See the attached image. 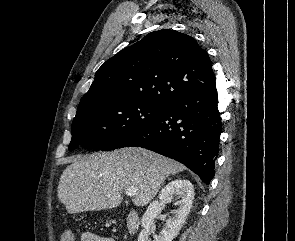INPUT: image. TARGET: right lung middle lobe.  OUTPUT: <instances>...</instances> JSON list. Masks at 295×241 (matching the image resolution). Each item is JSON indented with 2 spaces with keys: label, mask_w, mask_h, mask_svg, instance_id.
<instances>
[{
  "label": "right lung middle lobe",
  "mask_w": 295,
  "mask_h": 241,
  "mask_svg": "<svg viewBox=\"0 0 295 241\" xmlns=\"http://www.w3.org/2000/svg\"><path fill=\"white\" fill-rule=\"evenodd\" d=\"M163 106L122 98L103 92L81 99L72 123L68 149L79 145L94 150H114L132 132L156 118Z\"/></svg>",
  "instance_id": "1"
}]
</instances>
